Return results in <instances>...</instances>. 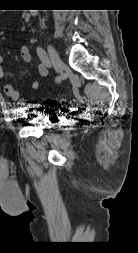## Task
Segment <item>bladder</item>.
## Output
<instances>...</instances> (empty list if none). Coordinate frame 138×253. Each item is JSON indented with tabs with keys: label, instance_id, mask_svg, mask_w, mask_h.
Segmentation results:
<instances>
[{
	"label": "bladder",
	"instance_id": "bladder-1",
	"mask_svg": "<svg viewBox=\"0 0 138 253\" xmlns=\"http://www.w3.org/2000/svg\"><path fill=\"white\" fill-rule=\"evenodd\" d=\"M25 114L28 117L29 122L42 129L53 128V125L50 122L44 121L45 113L42 111H26Z\"/></svg>",
	"mask_w": 138,
	"mask_h": 253
}]
</instances>
